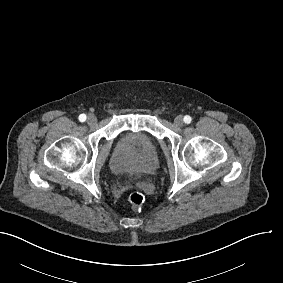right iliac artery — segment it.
<instances>
[{"instance_id":"obj_1","label":"right iliac artery","mask_w":283,"mask_h":283,"mask_svg":"<svg viewBox=\"0 0 283 283\" xmlns=\"http://www.w3.org/2000/svg\"><path fill=\"white\" fill-rule=\"evenodd\" d=\"M79 120H80V122H84L86 120V115L85 114H81L79 116Z\"/></svg>"}]
</instances>
